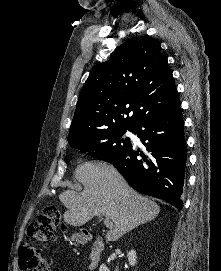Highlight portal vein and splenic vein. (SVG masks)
I'll use <instances>...</instances> for the list:
<instances>
[{"mask_svg":"<svg viewBox=\"0 0 221 271\" xmlns=\"http://www.w3.org/2000/svg\"><path fill=\"white\" fill-rule=\"evenodd\" d=\"M104 223L106 227H112L113 223L110 221L109 215H104Z\"/></svg>","mask_w":221,"mask_h":271,"instance_id":"18ae733b","label":"portal vein and splenic vein"}]
</instances>
